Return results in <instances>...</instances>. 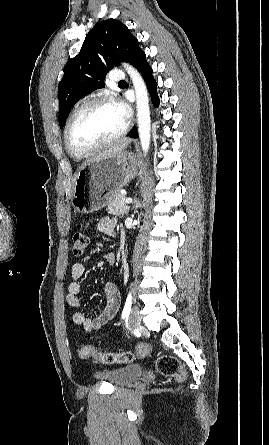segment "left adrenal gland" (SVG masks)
I'll use <instances>...</instances> for the list:
<instances>
[{
  "label": "left adrenal gland",
  "mask_w": 269,
  "mask_h": 445,
  "mask_svg": "<svg viewBox=\"0 0 269 445\" xmlns=\"http://www.w3.org/2000/svg\"><path fill=\"white\" fill-rule=\"evenodd\" d=\"M138 204H139V201H138V200H135V202H134V206L132 207V210H133L135 207H137Z\"/></svg>",
  "instance_id": "a2214340"
}]
</instances>
